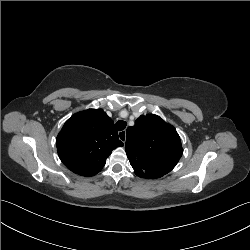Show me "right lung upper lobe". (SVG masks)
Listing matches in <instances>:
<instances>
[{
    "instance_id": "right-lung-upper-lobe-1",
    "label": "right lung upper lobe",
    "mask_w": 250,
    "mask_h": 250,
    "mask_svg": "<svg viewBox=\"0 0 250 250\" xmlns=\"http://www.w3.org/2000/svg\"><path fill=\"white\" fill-rule=\"evenodd\" d=\"M56 144L63 164L82 176L96 175L112 150L123 146L113 120L102 109H88L71 116Z\"/></svg>"
}]
</instances>
